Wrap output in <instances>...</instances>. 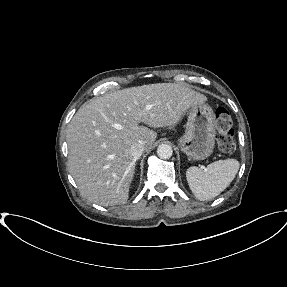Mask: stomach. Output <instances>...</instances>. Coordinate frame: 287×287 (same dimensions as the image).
I'll use <instances>...</instances> for the list:
<instances>
[{
    "mask_svg": "<svg viewBox=\"0 0 287 287\" xmlns=\"http://www.w3.org/2000/svg\"><path fill=\"white\" fill-rule=\"evenodd\" d=\"M216 137V117L213 109L203 103L192 107L188 113L186 130L178 139L181 151L190 160H204L214 149Z\"/></svg>",
    "mask_w": 287,
    "mask_h": 287,
    "instance_id": "obj_1",
    "label": "stomach"
}]
</instances>
